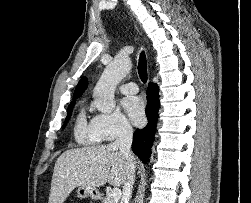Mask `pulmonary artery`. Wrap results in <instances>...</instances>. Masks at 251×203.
I'll use <instances>...</instances> for the list:
<instances>
[{"mask_svg": "<svg viewBox=\"0 0 251 203\" xmlns=\"http://www.w3.org/2000/svg\"><path fill=\"white\" fill-rule=\"evenodd\" d=\"M119 90L124 94H135L138 92V86L134 82H129L120 85Z\"/></svg>", "mask_w": 251, "mask_h": 203, "instance_id": "pulmonary-artery-1", "label": "pulmonary artery"}]
</instances>
